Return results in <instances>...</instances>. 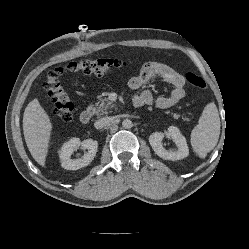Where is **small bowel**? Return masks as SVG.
Masks as SVG:
<instances>
[{
  "label": "small bowel",
  "instance_id": "small-bowel-1",
  "mask_svg": "<svg viewBox=\"0 0 249 249\" xmlns=\"http://www.w3.org/2000/svg\"><path fill=\"white\" fill-rule=\"evenodd\" d=\"M154 76H160L173 86L169 95L153 98L149 90H144L134 96V104L137 107L154 103L160 109L173 107L185 97V78L167 64L161 62H147L138 73L128 77L127 84L132 90H138L145 86Z\"/></svg>",
  "mask_w": 249,
  "mask_h": 249
}]
</instances>
